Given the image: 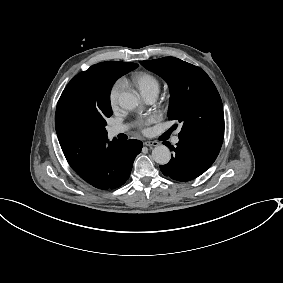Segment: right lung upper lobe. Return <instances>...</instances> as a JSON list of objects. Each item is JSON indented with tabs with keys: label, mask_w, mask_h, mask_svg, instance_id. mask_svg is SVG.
<instances>
[{
	"label": "right lung upper lobe",
	"mask_w": 283,
	"mask_h": 283,
	"mask_svg": "<svg viewBox=\"0 0 283 283\" xmlns=\"http://www.w3.org/2000/svg\"><path fill=\"white\" fill-rule=\"evenodd\" d=\"M137 67L136 63L101 62L76 75L62 92L55 128L62 151L74 170L110 143L119 141L108 142L107 131L99 119L111 109L114 82Z\"/></svg>",
	"instance_id": "right-lung-upper-lobe-1"
}]
</instances>
